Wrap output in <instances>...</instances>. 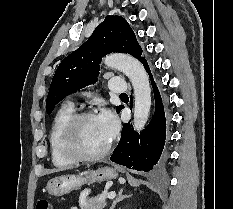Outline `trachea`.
<instances>
[{
	"label": "trachea",
	"mask_w": 233,
	"mask_h": 209,
	"mask_svg": "<svg viewBox=\"0 0 233 209\" xmlns=\"http://www.w3.org/2000/svg\"><path fill=\"white\" fill-rule=\"evenodd\" d=\"M120 96H127V94L126 93H122Z\"/></svg>",
	"instance_id": "3493384b"
}]
</instances>
